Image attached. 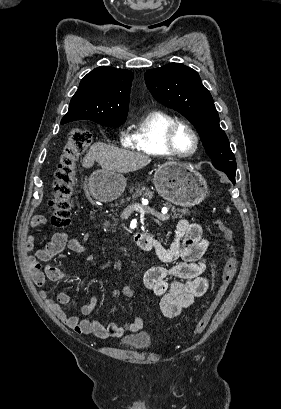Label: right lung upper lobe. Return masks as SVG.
<instances>
[{
	"label": "right lung upper lobe",
	"mask_w": 281,
	"mask_h": 409,
	"mask_svg": "<svg viewBox=\"0 0 281 409\" xmlns=\"http://www.w3.org/2000/svg\"><path fill=\"white\" fill-rule=\"evenodd\" d=\"M133 73L101 66L87 74L71 99L61 124L87 119L95 122L126 120Z\"/></svg>",
	"instance_id": "right-lung-upper-lobe-1"
}]
</instances>
